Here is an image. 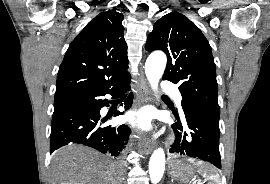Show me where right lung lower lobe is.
<instances>
[{
    "label": "right lung lower lobe",
    "instance_id": "98d812e1",
    "mask_svg": "<svg viewBox=\"0 0 270 184\" xmlns=\"http://www.w3.org/2000/svg\"><path fill=\"white\" fill-rule=\"evenodd\" d=\"M130 78L119 81L112 86L89 91L57 95L54 98L52 116L50 153L70 144L80 143L102 153L118 156L119 151L127 144L131 130L126 125L111 128L100 127L106 120H100V109L109 105L102 96L110 94L119 97L129 89ZM130 94L124 102L125 109L132 104ZM123 114L118 112L116 115Z\"/></svg>",
    "mask_w": 270,
    "mask_h": 184
}]
</instances>
